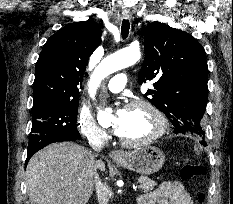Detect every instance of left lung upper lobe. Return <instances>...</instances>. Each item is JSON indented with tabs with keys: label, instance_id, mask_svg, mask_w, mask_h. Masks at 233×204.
<instances>
[{
	"label": "left lung upper lobe",
	"instance_id": "5c2ea615",
	"mask_svg": "<svg viewBox=\"0 0 233 204\" xmlns=\"http://www.w3.org/2000/svg\"><path fill=\"white\" fill-rule=\"evenodd\" d=\"M144 36L145 59L138 81H155V90H148L146 99L167 116L174 133L203 139L201 120L208 97L204 48L190 34L157 21Z\"/></svg>",
	"mask_w": 233,
	"mask_h": 204
}]
</instances>
